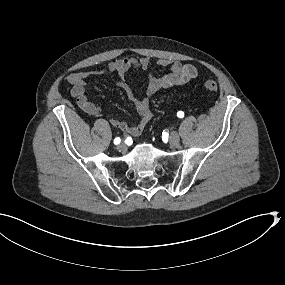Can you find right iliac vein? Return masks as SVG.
<instances>
[{
  "label": "right iliac vein",
  "mask_w": 285,
  "mask_h": 285,
  "mask_svg": "<svg viewBox=\"0 0 285 285\" xmlns=\"http://www.w3.org/2000/svg\"><path fill=\"white\" fill-rule=\"evenodd\" d=\"M118 149L119 150H125L126 149V144L124 142H121L119 145H118Z\"/></svg>",
  "instance_id": "right-iliac-vein-1"
}]
</instances>
